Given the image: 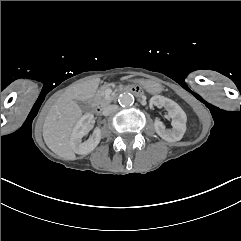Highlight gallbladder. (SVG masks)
Here are the masks:
<instances>
[{"label": "gallbladder", "instance_id": "bac80fb5", "mask_svg": "<svg viewBox=\"0 0 241 241\" xmlns=\"http://www.w3.org/2000/svg\"><path fill=\"white\" fill-rule=\"evenodd\" d=\"M77 104L79 105V107L83 110L86 111L88 109V103L84 102V101H77Z\"/></svg>", "mask_w": 241, "mask_h": 241}]
</instances>
